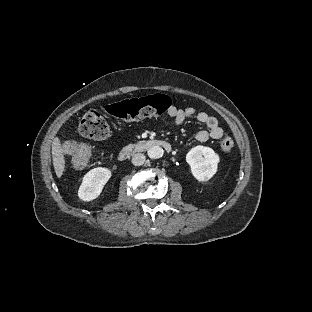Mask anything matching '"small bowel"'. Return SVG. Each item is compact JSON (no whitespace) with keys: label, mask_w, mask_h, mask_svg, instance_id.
I'll return each instance as SVG.
<instances>
[{"label":"small bowel","mask_w":312,"mask_h":312,"mask_svg":"<svg viewBox=\"0 0 312 312\" xmlns=\"http://www.w3.org/2000/svg\"><path fill=\"white\" fill-rule=\"evenodd\" d=\"M167 115L175 128L181 127L188 119H193L205 125L206 129L196 133L195 138L199 142H205L209 139L217 140L223 136L224 131L218 119L206 112L197 111L194 107L181 108L171 105L167 110Z\"/></svg>","instance_id":"obj_1"}]
</instances>
